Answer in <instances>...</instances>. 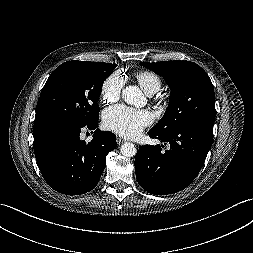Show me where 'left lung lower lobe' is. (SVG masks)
<instances>
[{
  "instance_id": "0a47b994",
  "label": "left lung lower lobe",
  "mask_w": 253,
  "mask_h": 253,
  "mask_svg": "<svg viewBox=\"0 0 253 253\" xmlns=\"http://www.w3.org/2000/svg\"><path fill=\"white\" fill-rule=\"evenodd\" d=\"M214 123L198 121L181 125L172 133L162 135L150 130L151 138L168 142L163 145L139 147L135 159L136 178L151 194H171L189 186L200 172L212 145ZM166 145V143H165Z\"/></svg>"
}]
</instances>
